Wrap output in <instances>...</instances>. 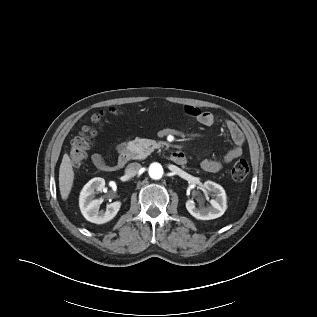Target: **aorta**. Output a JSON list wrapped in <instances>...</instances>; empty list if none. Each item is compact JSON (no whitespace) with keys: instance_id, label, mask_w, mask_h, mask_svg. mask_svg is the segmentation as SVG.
Listing matches in <instances>:
<instances>
[{"instance_id":"1","label":"aorta","mask_w":317,"mask_h":317,"mask_svg":"<svg viewBox=\"0 0 317 317\" xmlns=\"http://www.w3.org/2000/svg\"><path fill=\"white\" fill-rule=\"evenodd\" d=\"M149 175L153 179H160L163 176V168L159 163H152L149 167Z\"/></svg>"}]
</instances>
